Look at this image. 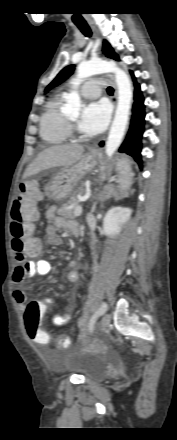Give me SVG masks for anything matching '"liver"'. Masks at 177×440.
Segmentation results:
<instances>
[{"label":"liver","mask_w":177,"mask_h":440,"mask_svg":"<svg viewBox=\"0 0 177 440\" xmlns=\"http://www.w3.org/2000/svg\"><path fill=\"white\" fill-rule=\"evenodd\" d=\"M83 152L84 147L78 144L49 147L39 153L36 159L27 167L23 178L35 175L42 170L73 165L81 159Z\"/></svg>","instance_id":"6515ba94"}]
</instances>
